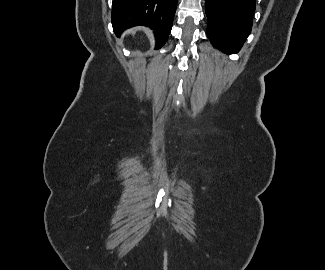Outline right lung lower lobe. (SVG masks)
Returning a JSON list of instances; mask_svg holds the SVG:
<instances>
[{
    "mask_svg": "<svg viewBox=\"0 0 325 270\" xmlns=\"http://www.w3.org/2000/svg\"><path fill=\"white\" fill-rule=\"evenodd\" d=\"M178 0H113L112 25L119 36L137 25L151 27L156 48L165 44L170 34Z\"/></svg>",
    "mask_w": 325,
    "mask_h": 270,
    "instance_id": "1",
    "label": "right lung lower lobe"
}]
</instances>
